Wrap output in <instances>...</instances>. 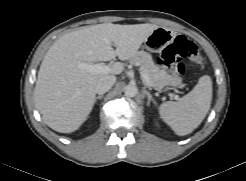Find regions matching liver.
<instances>
[{
  "label": "liver",
  "instance_id": "6515ba94",
  "mask_svg": "<svg viewBox=\"0 0 246 181\" xmlns=\"http://www.w3.org/2000/svg\"><path fill=\"white\" fill-rule=\"evenodd\" d=\"M158 27L149 23H103L61 36L47 51L34 90L44 123L60 133L76 131L92 111L98 80L124 70L121 62H115L107 73L96 74L78 64L110 61L116 56L121 61L130 60Z\"/></svg>",
  "mask_w": 246,
  "mask_h": 181
}]
</instances>
